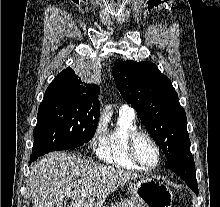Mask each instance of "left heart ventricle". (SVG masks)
<instances>
[{
    "instance_id": "1",
    "label": "left heart ventricle",
    "mask_w": 220,
    "mask_h": 207,
    "mask_svg": "<svg viewBox=\"0 0 220 207\" xmlns=\"http://www.w3.org/2000/svg\"><path fill=\"white\" fill-rule=\"evenodd\" d=\"M137 153L140 160L147 166L153 165L157 160V153L152 143L145 137L137 141Z\"/></svg>"
}]
</instances>
